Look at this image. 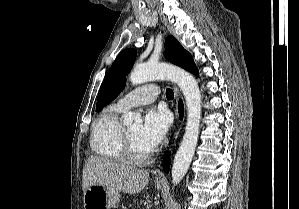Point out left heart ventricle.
I'll return each instance as SVG.
<instances>
[{"label": "left heart ventricle", "instance_id": "b2bd125f", "mask_svg": "<svg viewBox=\"0 0 299 209\" xmlns=\"http://www.w3.org/2000/svg\"><path fill=\"white\" fill-rule=\"evenodd\" d=\"M141 127L134 126L127 128L126 131L129 135V138L131 140L132 148L136 156H144L148 154L151 150L140 140L139 133H140Z\"/></svg>", "mask_w": 299, "mask_h": 209}]
</instances>
